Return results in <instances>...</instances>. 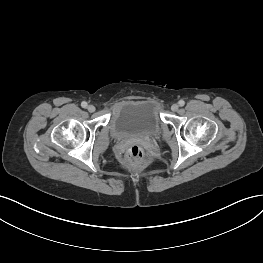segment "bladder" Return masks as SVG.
Returning <instances> with one entry per match:
<instances>
[{"label":"bladder","instance_id":"1","mask_svg":"<svg viewBox=\"0 0 263 263\" xmlns=\"http://www.w3.org/2000/svg\"><path fill=\"white\" fill-rule=\"evenodd\" d=\"M159 106L152 100L127 101L115 108L110 119L112 136L155 137L162 130Z\"/></svg>","mask_w":263,"mask_h":263}]
</instances>
